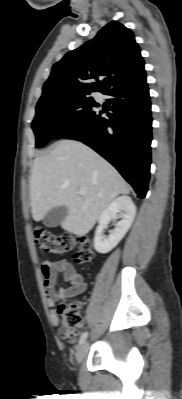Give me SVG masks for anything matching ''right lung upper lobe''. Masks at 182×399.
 <instances>
[{
	"label": "right lung upper lobe",
	"instance_id": "1",
	"mask_svg": "<svg viewBox=\"0 0 182 399\" xmlns=\"http://www.w3.org/2000/svg\"><path fill=\"white\" fill-rule=\"evenodd\" d=\"M144 75V61L132 31L119 22H110L93 40L53 65L39 101L95 91L105 93L118 83ZM98 76L107 78L93 82Z\"/></svg>",
	"mask_w": 182,
	"mask_h": 399
}]
</instances>
